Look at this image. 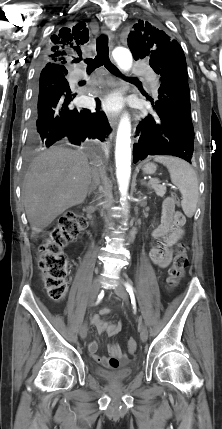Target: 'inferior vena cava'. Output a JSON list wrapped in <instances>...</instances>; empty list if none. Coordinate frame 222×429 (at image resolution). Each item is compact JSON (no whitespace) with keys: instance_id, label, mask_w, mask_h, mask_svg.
I'll list each match as a JSON object with an SVG mask.
<instances>
[{"instance_id":"inferior-vena-cava-1","label":"inferior vena cava","mask_w":222,"mask_h":429,"mask_svg":"<svg viewBox=\"0 0 222 429\" xmlns=\"http://www.w3.org/2000/svg\"><path fill=\"white\" fill-rule=\"evenodd\" d=\"M101 174H102V169L100 167L95 166L93 168V174H92V181L95 188L101 183V180H100ZM105 223H106L105 225L106 228L112 225V220L109 216H105Z\"/></svg>"}]
</instances>
